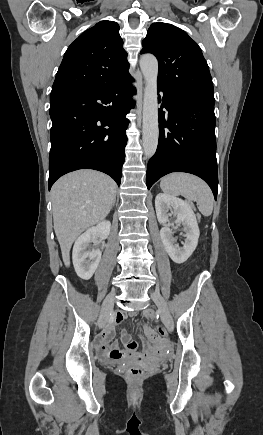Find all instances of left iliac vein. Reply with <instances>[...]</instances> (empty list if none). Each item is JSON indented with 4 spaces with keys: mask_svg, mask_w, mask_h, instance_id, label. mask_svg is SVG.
Segmentation results:
<instances>
[{
    "mask_svg": "<svg viewBox=\"0 0 263 435\" xmlns=\"http://www.w3.org/2000/svg\"><path fill=\"white\" fill-rule=\"evenodd\" d=\"M151 298L158 307V312L161 316V319L163 323L165 324L166 328L171 332L174 329V323L173 319L170 315L168 306L164 298L161 296L158 292L151 293Z\"/></svg>",
    "mask_w": 263,
    "mask_h": 435,
    "instance_id": "obj_1",
    "label": "left iliac vein"
}]
</instances>
